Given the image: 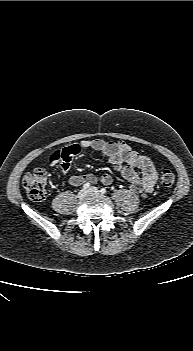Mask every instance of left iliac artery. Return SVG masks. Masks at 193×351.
Masks as SVG:
<instances>
[{
  "label": "left iliac artery",
  "mask_w": 193,
  "mask_h": 351,
  "mask_svg": "<svg viewBox=\"0 0 193 351\" xmlns=\"http://www.w3.org/2000/svg\"><path fill=\"white\" fill-rule=\"evenodd\" d=\"M100 192H101L102 194H105V193L107 192V190H106L105 188H102V189L100 190Z\"/></svg>",
  "instance_id": "1"
}]
</instances>
